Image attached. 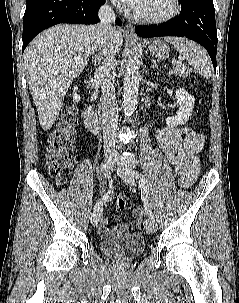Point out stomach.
Masks as SVG:
<instances>
[{"label": "stomach", "instance_id": "1", "mask_svg": "<svg viewBox=\"0 0 239 303\" xmlns=\"http://www.w3.org/2000/svg\"><path fill=\"white\" fill-rule=\"evenodd\" d=\"M150 51L158 60H165L169 56L170 48L162 41L155 40L149 45Z\"/></svg>", "mask_w": 239, "mask_h": 303}]
</instances>
